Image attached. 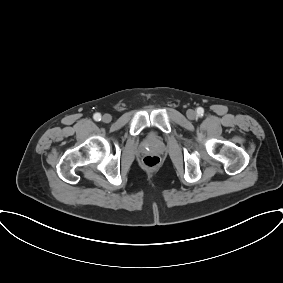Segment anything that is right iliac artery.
I'll use <instances>...</instances> for the list:
<instances>
[{
    "label": "right iliac artery",
    "instance_id": "right-iliac-artery-1",
    "mask_svg": "<svg viewBox=\"0 0 283 283\" xmlns=\"http://www.w3.org/2000/svg\"><path fill=\"white\" fill-rule=\"evenodd\" d=\"M95 121H100L101 120V114L100 113H95L93 116Z\"/></svg>",
    "mask_w": 283,
    "mask_h": 283
}]
</instances>
